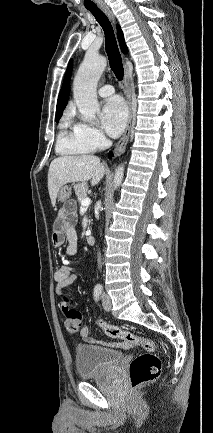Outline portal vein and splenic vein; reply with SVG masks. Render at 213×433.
Segmentation results:
<instances>
[{
	"label": "portal vein and splenic vein",
	"mask_w": 213,
	"mask_h": 433,
	"mask_svg": "<svg viewBox=\"0 0 213 433\" xmlns=\"http://www.w3.org/2000/svg\"><path fill=\"white\" fill-rule=\"evenodd\" d=\"M90 203H91L90 198L86 197V198L82 199L81 206L82 207H88L90 205Z\"/></svg>",
	"instance_id": "obj_1"
}]
</instances>
